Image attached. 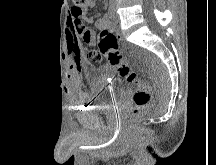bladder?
Masks as SVG:
<instances>
[{"label": "bladder", "mask_w": 216, "mask_h": 165, "mask_svg": "<svg viewBox=\"0 0 216 165\" xmlns=\"http://www.w3.org/2000/svg\"><path fill=\"white\" fill-rule=\"evenodd\" d=\"M84 86L90 90L87 97H91L88 106H92V111H111L112 104L117 103L119 97H125L123 89H118L123 86V81L120 76H112L109 70L101 76H91V81H84Z\"/></svg>", "instance_id": "obj_1"}]
</instances>
